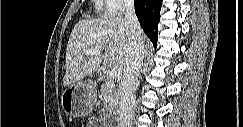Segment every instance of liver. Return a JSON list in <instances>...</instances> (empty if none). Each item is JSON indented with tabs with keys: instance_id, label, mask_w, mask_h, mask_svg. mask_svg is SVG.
I'll use <instances>...</instances> for the list:
<instances>
[{
	"instance_id": "1",
	"label": "liver",
	"mask_w": 243,
	"mask_h": 127,
	"mask_svg": "<svg viewBox=\"0 0 243 127\" xmlns=\"http://www.w3.org/2000/svg\"><path fill=\"white\" fill-rule=\"evenodd\" d=\"M129 39V25L121 16L79 20L71 32L66 49V72L63 86H69L92 76L101 64L106 68L117 67L123 72ZM141 40L143 45L148 43L143 31ZM94 49L99 50L100 55L84 53ZM103 51L104 54L101 55Z\"/></svg>"
}]
</instances>
